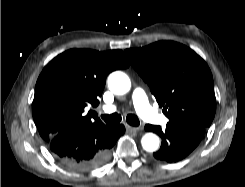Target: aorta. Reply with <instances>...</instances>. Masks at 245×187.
Returning <instances> with one entry per match:
<instances>
[{
    "label": "aorta",
    "mask_w": 245,
    "mask_h": 187,
    "mask_svg": "<svg viewBox=\"0 0 245 187\" xmlns=\"http://www.w3.org/2000/svg\"><path fill=\"white\" fill-rule=\"evenodd\" d=\"M107 82L109 89L117 95L126 94L131 88L129 77L121 71L111 73ZM141 144L144 150L153 152L159 147V138L153 133H147L142 137Z\"/></svg>",
    "instance_id": "1"
}]
</instances>
